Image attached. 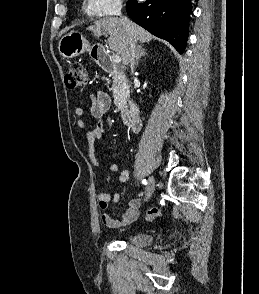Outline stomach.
<instances>
[{"instance_id":"1","label":"stomach","mask_w":259,"mask_h":294,"mask_svg":"<svg viewBox=\"0 0 259 294\" xmlns=\"http://www.w3.org/2000/svg\"><path fill=\"white\" fill-rule=\"evenodd\" d=\"M89 45L85 37L78 31H71L64 35L58 45L60 55L65 59H71L86 51Z\"/></svg>"}]
</instances>
